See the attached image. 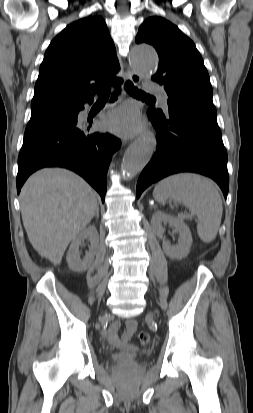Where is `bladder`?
I'll list each match as a JSON object with an SVG mask.
<instances>
[{"label": "bladder", "instance_id": "bladder-1", "mask_svg": "<svg viewBox=\"0 0 253 413\" xmlns=\"http://www.w3.org/2000/svg\"><path fill=\"white\" fill-rule=\"evenodd\" d=\"M140 358L139 353L135 349L114 353L111 360L116 365H129L135 363Z\"/></svg>", "mask_w": 253, "mask_h": 413}]
</instances>
